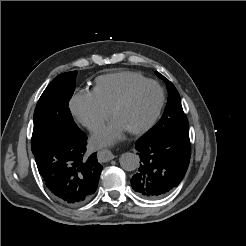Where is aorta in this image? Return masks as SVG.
<instances>
[{"instance_id":"762f6f07","label":"aorta","mask_w":246,"mask_h":246,"mask_svg":"<svg viewBox=\"0 0 246 246\" xmlns=\"http://www.w3.org/2000/svg\"><path fill=\"white\" fill-rule=\"evenodd\" d=\"M140 158L138 155L126 152L120 157V166L126 171H133L139 167Z\"/></svg>"}]
</instances>
